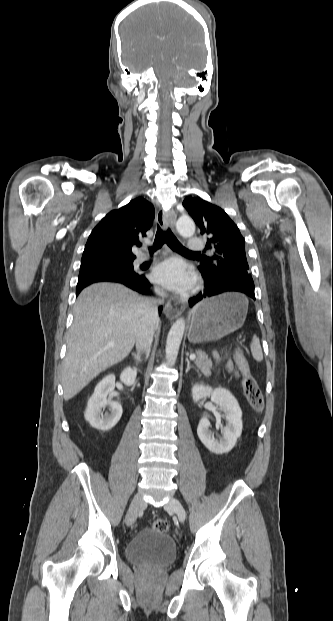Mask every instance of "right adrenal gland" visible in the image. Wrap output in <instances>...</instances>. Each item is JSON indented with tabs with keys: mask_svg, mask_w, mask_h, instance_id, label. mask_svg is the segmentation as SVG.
<instances>
[{
	"mask_svg": "<svg viewBox=\"0 0 333 621\" xmlns=\"http://www.w3.org/2000/svg\"><path fill=\"white\" fill-rule=\"evenodd\" d=\"M148 355H149V353L147 352V353H146V355H145V358H144L145 360L148 358ZM132 356H133V358L135 359V361H136V364H137V365H138L140 362H142V361H143V359L141 358V354H140V353H135V352H133V353H132Z\"/></svg>",
	"mask_w": 333,
	"mask_h": 621,
	"instance_id": "obj_1",
	"label": "right adrenal gland"
}]
</instances>
